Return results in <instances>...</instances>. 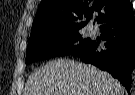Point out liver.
<instances>
[{
    "label": "liver",
    "mask_w": 135,
    "mask_h": 95,
    "mask_svg": "<svg viewBox=\"0 0 135 95\" xmlns=\"http://www.w3.org/2000/svg\"><path fill=\"white\" fill-rule=\"evenodd\" d=\"M24 95H124V88L95 66L61 59L35 70Z\"/></svg>",
    "instance_id": "liver-1"
}]
</instances>
